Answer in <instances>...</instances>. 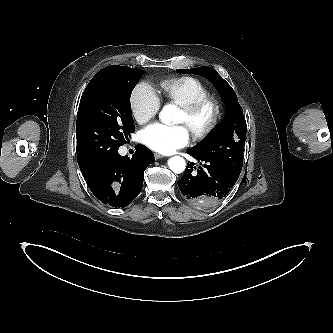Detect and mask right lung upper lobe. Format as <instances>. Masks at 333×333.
<instances>
[{"label": "right lung upper lobe", "instance_id": "1", "mask_svg": "<svg viewBox=\"0 0 333 333\" xmlns=\"http://www.w3.org/2000/svg\"><path fill=\"white\" fill-rule=\"evenodd\" d=\"M113 66H115V65H113ZM108 67H110V66H108ZM106 68H107V67H106ZM82 101H83V95H82V97H81V100H80L79 107H80V105H81ZM78 109H79V108H78Z\"/></svg>", "mask_w": 333, "mask_h": 333}]
</instances>
